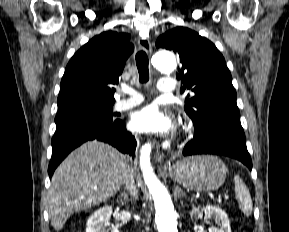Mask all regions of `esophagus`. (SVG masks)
<instances>
[{"mask_svg":"<svg viewBox=\"0 0 289 232\" xmlns=\"http://www.w3.org/2000/svg\"><path fill=\"white\" fill-rule=\"evenodd\" d=\"M138 45L146 53H148V54L152 53V47H151V43H150L149 39L140 37L138 39ZM164 157H165L164 153L161 152L160 150H157V152L155 154L156 162L162 163L164 160Z\"/></svg>","mask_w":289,"mask_h":232,"instance_id":"1","label":"esophagus"}]
</instances>
